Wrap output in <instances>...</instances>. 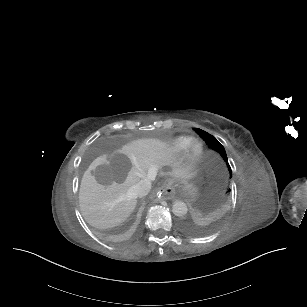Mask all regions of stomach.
Segmentation results:
<instances>
[{
  "label": "stomach",
  "instance_id": "stomach-1",
  "mask_svg": "<svg viewBox=\"0 0 307 307\" xmlns=\"http://www.w3.org/2000/svg\"><path fill=\"white\" fill-rule=\"evenodd\" d=\"M178 183L182 185L185 191H188V192L193 191V184L190 182L189 179L178 180Z\"/></svg>",
  "mask_w": 307,
  "mask_h": 307
}]
</instances>
